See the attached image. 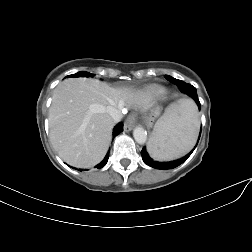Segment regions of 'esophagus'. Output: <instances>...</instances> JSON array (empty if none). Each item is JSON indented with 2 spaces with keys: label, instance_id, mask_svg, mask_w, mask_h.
I'll return each mask as SVG.
<instances>
[{
  "label": "esophagus",
  "instance_id": "obj_1",
  "mask_svg": "<svg viewBox=\"0 0 252 252\" xmlns=\"http://www.w3.org/2000/svg\"><path fill=\"white\" fill-rule=\"evenodd\" d=\"M133 127H134V121L131 117H129L124 123V130L126 132H129L132 130Z\"/></svg>",
  "mask_w": 252,
  "mask_h": 252
}]
</instances>
